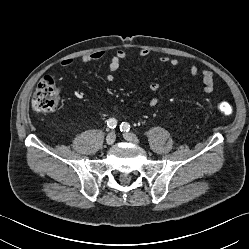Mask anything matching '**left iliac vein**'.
<instances>
[{"mask_svg": "<svg viewBox=\"0 0 249 249\" xmlns=\"http://www.w3.org/2000/svg\"><path fill=\"white\" fill-rule=\"evenodd\" d=\"M124 138H125V140H127L129 142H132L134 144H139L138 137L133 133H125Z\"/></svg>", "mask_w": 249, "mask_h": 249, "instance_id": "left-iliac-vein-1", "label": "left iliac vein"}]
</instances>
